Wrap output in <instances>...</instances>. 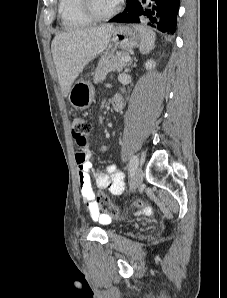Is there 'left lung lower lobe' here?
Wrapping results in <instances>:
<instances>
[{"mask_svg":"<svg viewBox=\"0 0 227 298\" xmlns=\"http://www.w3.org/2000/svg\"><path fill=\"white\" fill-rule=\"evenodd\" d=\"M180 0H128L125 10L110 22L145 23L174 33Z\"/></svg>","mask_w":227,"mask_h":298,"instance_id":"obj_1","label":"left lung lower lobe"}]
</instances>
